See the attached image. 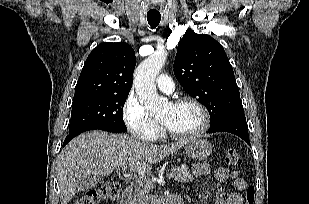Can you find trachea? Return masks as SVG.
<instances>
[{"instance_id":"obj_1","label":"trachea","mask_w":309,"mask_h":204,"mask_svg":"<svg viewBox=\"0 0 309 204\" xmlns=\"http://www.w3.org/2000/svg\"><path fill=\"white\" fill-rule=\"evenodd\" d=\"M147 20L151 28H156L161 20L160 15H147Z\"/></svg>"}]
</instances>
